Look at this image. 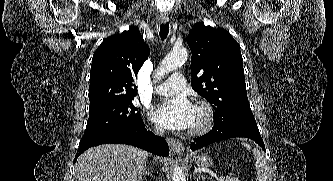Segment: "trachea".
<instances>
[{
    "mask_svg": "<svg viewBox=\"0 0 333 181\" xmlns=\"http://www.w3.org/2000/svg\"><path fill=\"white\" fill-rule=\"evenodd\" d=\"M168 33H169V24L168 23L162 24L160 27V33H159L161 39L162 40L166 39Z\"/></svg>",
    "mask_w": 333,
    "mask_h": 181,
    "instance_id": "obj_1",
    "label": "trachea"
}]
</instances>
